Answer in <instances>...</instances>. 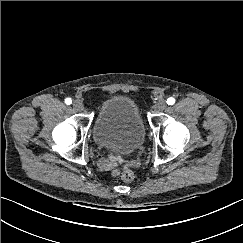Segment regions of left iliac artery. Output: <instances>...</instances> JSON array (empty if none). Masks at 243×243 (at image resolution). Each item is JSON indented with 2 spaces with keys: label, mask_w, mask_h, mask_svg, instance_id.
Here are the masks:
<instances>
[{
  "label": "left iliac artery",
  "mask_w": 243,
  "mask_h": 243,
  "mask_svg": "<svg viewBox=\"0 0 243 243\" xmlns=\"http://www.w3.org/2000/svg\"><path fill=\"white\" fill-rule=\"evenodd\" d=\"M175 103V99L173 97H170L167 99V104L168 105H173Z\"/></svg>",
  "instance_id": "1"
}]
</instances>
